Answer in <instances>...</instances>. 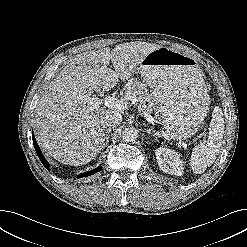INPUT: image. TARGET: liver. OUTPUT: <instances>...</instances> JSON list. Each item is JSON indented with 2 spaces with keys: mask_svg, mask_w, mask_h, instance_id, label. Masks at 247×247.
Listing matches in <instances>:
<instances>
[{
  "mask_svg": "<svg viewBox=\"0 0 247 247\" xmlns=\"http://www.w3.org/2000/svg\"><path fill=\"white\" fill-rule=\"evenodd\" d=\"M159 45L129 42L112 50L77 55L46 87L36 108L34 128L40 147L61 163L79 166L104 147L105 117L115 109L94 106L93 90L108 91L125 82ZM113 64L114 70L109 68Z\"/></svg>",
  "mask_w": 247,
  "mask_h": 247,
  "instance_id": "1",
  "label": "liver"
}]
</instances>
